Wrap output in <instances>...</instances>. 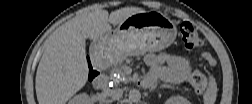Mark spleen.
Returning a JSON list of instances; mask_svg holds the SVG:
<instances>
[{
  "instance_id": "3e777b00",
  "label": "spleen",
  "mask_w": 252,
  "mask_h": 104,
  "mask_svg": "<svg viewBox=\"0 0 252 104\" xmlns=\"http://www.w3.org/2000/svg\"><path fill=\"white\" fill-rule=\"evenodd\" d=\"M217 84L213 77H210L209 86L203 95V101L206 104H213L217 97Z\"/></svg>"
}]
</instances>
